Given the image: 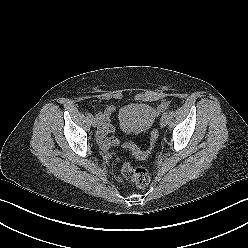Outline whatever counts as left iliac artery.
Listing matches in <instances>:
<instances>
[{
    "instance_id": "1",
    "label": "left iliac artery",
    "mask_w": 248,
    "mask_h": 248,
    "mask_svg": "<svg viewBox=\"0 0 248 248\" xmlns=\"http://www.w3.org/2000/svg\"><path fill=\"white\" fill-rule=\"evenodd\" d=\"M163 116L167 117L168 116V113L167 112L166 113H163Z\"/></svg>"
}]
</instances>
